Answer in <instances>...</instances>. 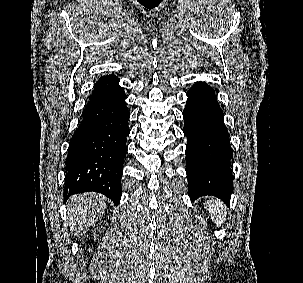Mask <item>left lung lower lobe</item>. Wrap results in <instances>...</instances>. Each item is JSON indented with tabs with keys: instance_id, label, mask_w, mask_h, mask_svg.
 I'll return each mask as SVG.
<instances>
[{
	"instance_id": "1",
	"label": "left lung lower lobe",
	"mask_w": 303,
	"mask_h": 283,
	"mask_svg": "<svg viewBox=\"0 0 303 283\" xmlns=\"http://www.w3.org/2000/svg\"><path fill=\"white\" fill-rule=\"evenodd\" d=\"M183 132L187 137L186 173L192 200L205 195L226 204L232 193L229 133L214 91L199 82L187 92Z\"/></svg>"
}]
</instances>
